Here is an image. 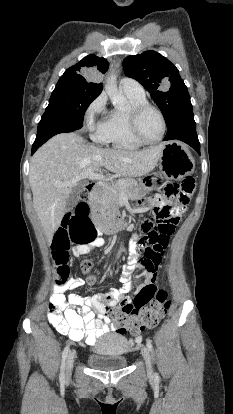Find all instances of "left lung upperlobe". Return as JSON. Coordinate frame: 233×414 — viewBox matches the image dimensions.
<instances>
[{"label": "left lung upper lobe", "instance_id": "5c2ea615", "mask_svg": "<svg viewBox=\"0 0 233 414\" xmlns=\"http://www.w3.org/2000/svg\"><path fill=\"white\" fill-rule=\"evenodd\" d=\"M123 68L128 77L136 79L160 108L168 125L183 108L191 105L186 85L178 69L155 51H146L124 59Z\"/></svg>", "mask_w": 233, "mask_h": 414}]
</instances>
